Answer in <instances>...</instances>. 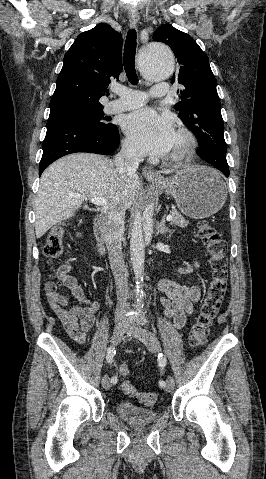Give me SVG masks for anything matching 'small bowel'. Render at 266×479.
I'll list each match as a JSON object with an SVG mask.
<instances>
[{
    "label": "small bowel",
    "instance_id": "c3829d8e",
    "mask_svg": "<svg viewBox=\"0 0 266 479\" xmlns=\"http://www.w3.org/2000/svg\"><path fill=\"white\" fill-rule=\"evenodd\" d=\"M197 266L198 263L195 262L190 266L180 268L179 271L187 274ZM59 277L70 294L60 291L57 284L47 283L45 285L47 302L70 337L78 343H84L88 331L95 323V315L99 310V304L85 296L83 288L67 271L62 272ZM159 290L164 294L161 303L165 315L173 321L176 328H183L188 316L193 312V304L200 298L199 288L197 286L181 285L171 279H163L159 283ZM72 298L81 304L68 308L67 305Z\"/></svg>",
    "mask_w": 266,
    "mask_h": 479
}]
</instances>
